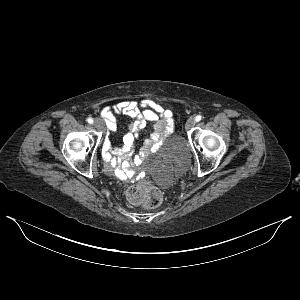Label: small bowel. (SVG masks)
Here are the masks:
<instances>
[{"label":"small bowel","mask_w":300,"mask_h":300,"mask_svg":"<svg viewBox=\"0 0 300 300\" xmlns=\"http://www.w3.org/2000/svg\"><path fill=\"white\" fill-rule=\"evenodd\" d=\"M100 113L109 132L117 130V115L133 118L122 145L115 146L109 140L105 141L103 157L108 173L119 168L122 173L128 174L133 165L141 164L150 154L157 152L164 137L173 130L172 113L152 99L124 100L113 107L102 108ZM148 123L154 124V130L131 160L135 141Z\"/></svg>","instance_id":"c3829d8e"}]
</instances>
